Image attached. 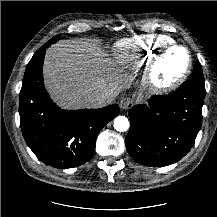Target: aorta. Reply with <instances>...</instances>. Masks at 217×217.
<instances>
[{
    "label": "aorta",
    "instance_id": "obj_1",
    "mask_svg": "<svg viewBox=\"0 0 217 217\" xmlns=\"http://www.w3.org/2000/svg\"><path fill=\"white\" fill-rule=\"evenodd\" d=\"M114 128L119 132H125L129 128V121L125 116H118L114 119Z\"/></svg>",
    "mask_w": 217,
    "mask_h": 217
}]
</instances>
